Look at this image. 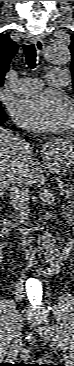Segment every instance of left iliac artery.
I'll use <instances>...</instances> for the list:
<instances>
[{
	"label": "left iliac artery",
	"mask_w": 74,
	"mask_h": 366,
	"mask_svg": "<svg viewBox=\"0 0 74 366\" xmlns=\"http://www.w3.org/2000/svg\"><path fill=\"white\" fill-rule=\"evenodd\" d=\"M57 332H58V328H57ZM57 337L59 339V345L63 348L65 346V343L59 332L57 333Z\"/></svg>",
	"instance_id": "obj_1"
}]
</instances>
